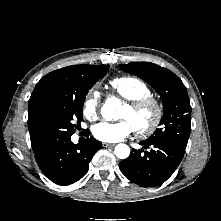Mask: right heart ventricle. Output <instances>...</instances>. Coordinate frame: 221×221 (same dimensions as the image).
Returning <instances> with one entry per match:
<instances>
[{
	"instance_id": "1",
	"label": "right heart ventricle",
	"mask_w": 221,
	"mask_h": 221,
	"mask_svg": "<svg viewBox=\"0 0 221 221\" xmlns=\"http://www.w3.org/2000/svg\"><path fill=\"white\" fill-rule=\"evenodd\" d=\"M110 88L127 101H135L151 95L147 83L134 76H119L110 81Z\"/></svg>"
}]
</instances>
